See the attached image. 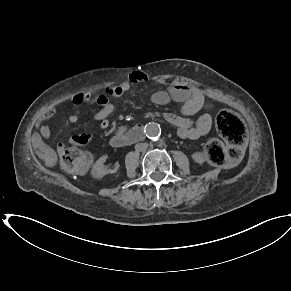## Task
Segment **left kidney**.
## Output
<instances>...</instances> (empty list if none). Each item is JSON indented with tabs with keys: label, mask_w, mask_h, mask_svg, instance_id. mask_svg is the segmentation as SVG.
I'll use <instances>...</instances> for the list:
<instances>
[{
	"label": "left kidney",
	"mask_w": 291,
	"mask_h": 291,
	"mask_svg": "<svg viewBox=\"0 0 291 291\" xmlns=\"http://www.w3.org/2000/svg\"><path fill=\"white\" fill-rule=\"evenodd\" d=\"M192 158L194 159L195 162L199 163V164H202L205 162V158L204 156L202 155V153L200 152H196L192 155Z\"/></svg>",
	"instance_id": "5707ae66"
}]
</instances>
